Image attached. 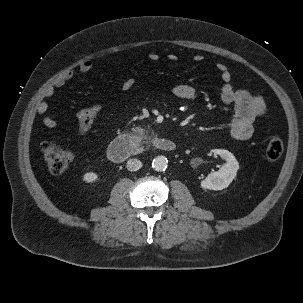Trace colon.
Segmentation results:
<instances>
[{
	"instance_id": "colon-1",
	"label": "colon",
	"mask_w": 303,
	"mask_h": 303,
	"mask_svg": "<svg viewBox=\"0 0 303 303\" xmlns=\"http://www.w3.org/2000/svg\"><path fill=\"white\" fill-rule=\"evenodd\" d=\"M101 109L100 102H94L78 115V132L84 135L93 125ZM40 149L44 155L48 169L53 174L63 173L74 159V152L57 142L44 141ZM284 145L280 137H272L266 146V157L270 161L278 160L283 153Z\"/></svg>"
}]
</instances>
